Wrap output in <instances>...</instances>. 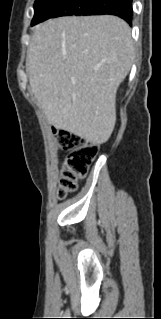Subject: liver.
I'll return each instance as SVG.
<instances>
[{
  "label": "liver",
  "instance_id": "1",
  "mask_svg": "<svg viewBox=\"0 0 161 319\" xmlns=\"http://www.w3.org/2000/svg\"><path fill=\"white\" fill-rule=\"evenodd\" d=\"M133 59L125 21L110 15L73 16L35 27L26 66L48 123L99 145L114 129L117 89Z\"/></svg>",
  "mask_w": 161,
  "mask_h": 319
}]
</instances>
